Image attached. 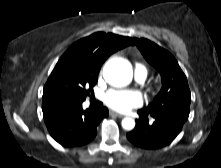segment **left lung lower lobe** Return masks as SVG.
<instances>
[{"mask_svg":"<svg viewBox=\"0 0 221 168\" xmlns=\"http://www.w3.org/2000/svg\"><path fill=\"white\" fill-rule=\"evenodd\" d=\"M135 128L127 133L128 140L143 149H158L170 144L180 133L187 117L178 114H148L138 111ZM148 117L154 122L148 123Z\"/></svg>","mask_w":221,"mask_h":168,"instance_id":"obj_1","label":"left lung lower lobe"}]
</instances>
